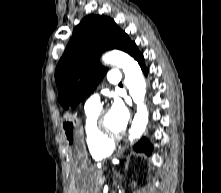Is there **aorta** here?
<instances>
[{
	"label": "aorta",
	"mask_w": 221,
	"mask_h": 193,
	"mask_svg": "<svg viewBox=\"0 0 221 193\" xmlns=\"http://www.w3.org/2000/svg\"><path fill=\"white\" fill-rule=\"evenodd\" d=\"M102 60L105 64L115 65L121 68L125 74V86L129 94L137 105V112L129 130V140L133 142L140 138L148 123V110L144 104L146 93V82L143 77L139 64L128 54L119 50H113L103 55Z\"/></svg>",
	"instance_id": "1"
}]
</instances>
